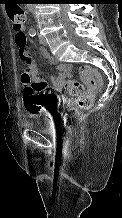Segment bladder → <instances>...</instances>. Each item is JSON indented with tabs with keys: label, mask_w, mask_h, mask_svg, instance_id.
Instances as JSON below:
<instances>
[{
	"label": "bladder",
	"mask_w": 122,
	"mask_h": 218,
	"mask_svg": "<svg viewBox=\"0 0 122 218\" xmlns=\"http://www.w3.org/2000/svg\"><path fill=\"white\" fill-rule=\"evenodd\" d=\"M45 114L39 113H28L25 116L28 127L38 131L46 132L49 130V123L45 120Z\"/></svg>",
	"instance_id": "obj_1"
}]
</instances>
